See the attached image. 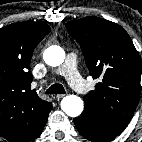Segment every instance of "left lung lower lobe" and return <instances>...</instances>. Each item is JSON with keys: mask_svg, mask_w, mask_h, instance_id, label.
Instances as JSON below:
<instances>
[{"mask_svg": "<svg viewBox=\"0 0 142 142\" xmlns=\"http://www.w3.org/2000/svg\"><path fill=\"white\" fill-rule=\"evenodd\" d=\"M74 123L79 133L91 142H109L123 131L106 124L99 115L86 108L74 118Z\"/></svg>", "mask_w": 142, "mask_h": 142, "instance_id": "1", "label": "left lung lower lobe"}]
</instances>
